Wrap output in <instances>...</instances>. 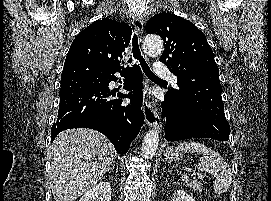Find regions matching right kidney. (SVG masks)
I'll return each mask as SVG.
<instances>
[{"label": "right kidney", "mask_w": 271, "mask_h": 201, "mask_svg": "<svg viewBox=\"0 0 271 201\" xmlns=\"http://www.w3.org/2000/svg\"><path fill=\"white\" fill-rule=\"evenodd\" d=\"M79 201H111V186L102 181L88 190Z\"/></svg>", "instance_id": "1"}]
</instances>
